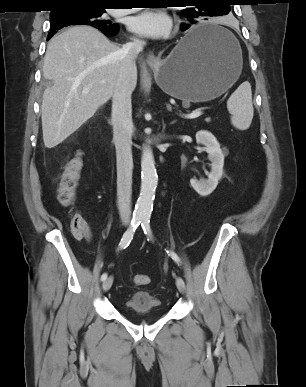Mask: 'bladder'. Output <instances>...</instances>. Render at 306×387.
<instances>
[{
  "instance_id": "1",
  "label": "bladder",
  "mask_w": 306,
  "mask_h": 387,
  "mask_svg": "<svg viewBox=\"0 0 306 387\" xmlns=\"http://www.w3.org/2000/svg\"><path fill=\"white\" fill-rule=\"evenodd\" d=\"M124 308L131 316L139 314L161 316L164 313L161 301L146 291L134 293L125 301Z\"/></svg>"
}]
</instances>
